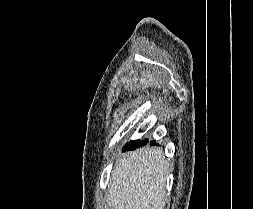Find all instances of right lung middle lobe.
<instances>
[{"label": "right lung middle lobe", "mask_w": 253, "mask_h": 209, "mask_svg": "<svg viewBox=\"0 0 253 209\" xmlns=\"http://www.w3.org/2000/svg\"><path fill=\"white\" fill-rule=\"evenodd\" d=\"M144 142H145V140H143L141 142L139 140L131 141L129 144L125 145L123 150H127V149L133 150V149L137 148L138 146L142 145Z\"/></svg>", "instance_id": "dd1d6c3e"}]
</instances>
